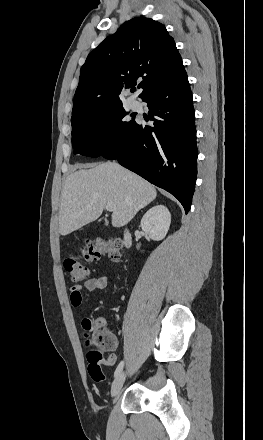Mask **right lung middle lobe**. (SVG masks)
I'll return each instance as SVG.
<instances>
[{"label":"right lung middle lobe","mask_w":263,"mask_h":440,"mask_svg":"<svg viewBox=\"0 0 263 440\" xmlns=\"http://www.w3.org/2000/svg\"><path fill=\"white\" fill-rule=\"evenodd\" d=\"M122 105L85 113L71 121L74 154L101 156L108 146L119 143L137 124L125 121Z\"/></svg>","instance_id":"right-lung-middle-lobe-1"}]
</instances>
